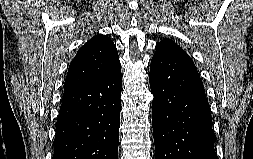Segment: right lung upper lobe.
Here are the masks:
<instances>
[{
  "label": "right lung upper lobe",
  "mask_w": 253,
  "mask_h": 159,
  "mask_svg": "<svg viewBox=\"0 0 253 159\" xmlns=\"http://www.w3.org/2000/svg\"><path fill=\"white\" fill-rule=\"evenodd\" d=\"M120 65L113 41L97 34L87 41L71 61L64 84V94L103 76Z\"/></svg>",
  "instance_id": "cb5924a9"
}]
</instances>
